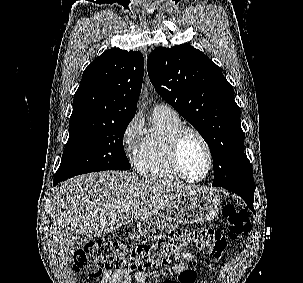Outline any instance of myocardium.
<instances>
[{"label":"myocardium","instance_id":"obj_1","mask_svg":"<svg viewBox=\"0 0 303 283\" xmlns=\"http://www.w3.org/2000/svg\"><path fill=\"white\" fill-rule=\"evenodd\" d=\"M188 134H193L200 140V142L204 146L206 154H207L208 164H207L206 172L204 173L203 176H201L200 178H197V179H193L186 174V172L183 168L182 162H181V146H182L184 138ZM170 157H171L172 164H173L175 170L178 172V174L184 180H186L188 182H192V183H198V182H201L204 179H206L207 176L210 174L212 167H213V153H212V149H211L207 139L199 130H197L194 127H190V126L183 125L180 128H178L175 131V133L172 135L171 140H170Z\"/></svg>","mask_w":303,"mask_h":283}]
</instances>
